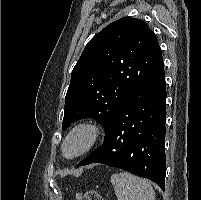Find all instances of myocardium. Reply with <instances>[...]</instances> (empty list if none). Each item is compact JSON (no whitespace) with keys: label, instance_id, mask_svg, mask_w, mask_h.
<instances>
[{"label":"myocardium","instance_id":"1","mask_svg":"<svg viewBox=\"0 0 201 200\" xmlns=\"http://www.w3.org/2000/svg\"><path fill=\"white\" fill-rule=\"evenodd\" d=\"M80 131L87 133L88 135L87 144L81 151L77 152L74 155L69 156L65 153L66 143L72 135ZM104 133H105L104 127L96 121L87 120L77 123L68 131V133L66 134V136L62 141L61 151L63 156L66 159L73 160L87 154L100 142V140L104 136Z\"/></svg>","mask_w":201,"mask_h":200}]
</instances>
